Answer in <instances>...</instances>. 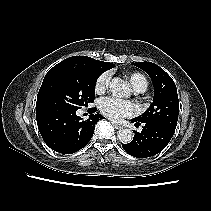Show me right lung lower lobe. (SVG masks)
Returning <instances> with one entry per match:
<instances>
[{"label":"right lung lower lobe","instance_id":"obj_1","mask_svg":"<svg viewBox=\"0 0 211 211\" xmlns=\"http://www.w3.org/2000/svg\"><path fill=\"white\" fill-rule=\"evenodd\" d=\"M77 109L43 108L36 110L38 129L44 142L54 151L72 154L88 144L94 134L96 123L104 118L92 114L83 120L76 115Z\"/></svg>","mask_w":211,"mask_h":211}]
</instances>
